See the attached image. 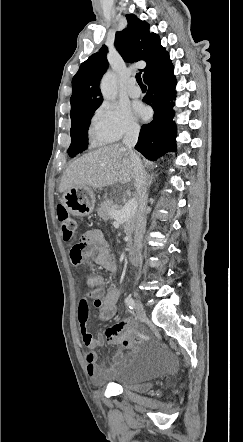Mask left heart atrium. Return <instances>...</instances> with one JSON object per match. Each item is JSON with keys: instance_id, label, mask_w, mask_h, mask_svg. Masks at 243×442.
Instances as JSON below:
<instances>
[{"instance_id": "39dd6f15", "label": "left heart atrium", "mask_w": 243, "mask_h": 442, "mask_svg": "<svg viewBox=\"0 0 243 442\" xmlns=\"http://www.w3.org/2000/svg\"><path fill=\"white\" fill-rule=\"evenodd\" d=\"M136 113L140 117H145L146 114H147V111H146V109L143 106L139 105V106L136 107Z\"/></svg>"}]
</instances>
